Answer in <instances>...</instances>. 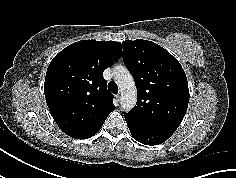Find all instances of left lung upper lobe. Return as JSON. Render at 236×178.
<instances>
[{
	"instance_id": "obj_1",
	"label": "left lung upper lobe",
	"mask_w": 236,
	"mask_h": 178,
	"mask_svg": "<svg viewBox=\"0 0 236 178\" xmlns=\"http://www.w3.org/2000/svg\"><path fill=\"white\" fill-rule=\"evenodd\" d=\"M123 60L137 86L136 106L125 119L174 133L189 102L188 82L178 60L154 42L124 41Z\"/></svg>"
}]
</instances>
